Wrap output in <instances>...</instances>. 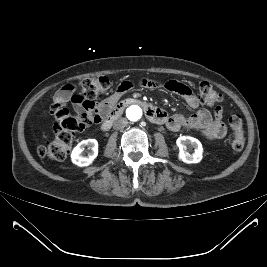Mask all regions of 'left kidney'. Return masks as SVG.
I'll list each match as a JSON object with an SVG mask.
<instances>
[{
	"instance_id": "5707ae66",
	"label": "left kidney",
	"mask_w": 267,
	"mask_h": 267,
	"mask_svg": "<svg viewBox=\"0 0 267 267\" xmlns=\"http://www.w3.org/2000/svg\"><path fill=\"white\" fill-rule=\"evenodd\" d=\"M176 143L179 147L178 158L181 161L187 164H192L202 160L203 148L198 139L191 136H180ZM187 146H192L194 148V153L190 154L187 152Z\"/></svg>"
}]
</instances>
